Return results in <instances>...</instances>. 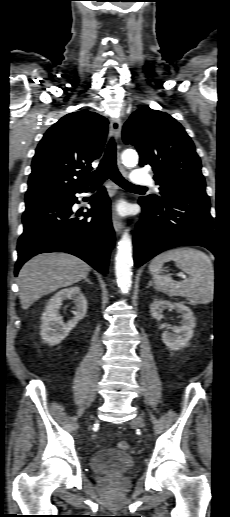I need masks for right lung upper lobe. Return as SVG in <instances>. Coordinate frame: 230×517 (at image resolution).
I'll return each instance as SVG.
<instances>
[{
  "label": "right lung upper lobe",
  "instance_id": "right-lung-upper-lobe-1",
  "mask_svg": "<svg viewBox=\"0 0 230 517\" xmlns=\"http://www.w3.org/2000/svg\"><path fill=\"white\" fill-rule=\"evenodd\" d=\"M107 133L108 121L97 113L82 110L62 117L38 144L25 200L88 186L91 162L101 156Z\"/></svg>",
  "mask_w": 230,
  "mask_h": 517
}]
</instances>
